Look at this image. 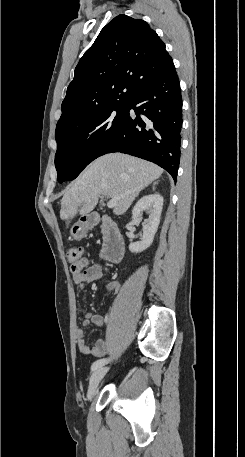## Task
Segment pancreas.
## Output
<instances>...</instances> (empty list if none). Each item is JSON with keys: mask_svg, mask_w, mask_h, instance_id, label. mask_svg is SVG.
<instances>
[{"mask_svg": "<svg viewBox=\"0 0 245 457\" xmlns=\"http://www.w3.org/2000/svg\"><path fill=\"white\" fill-rule=\"evenodd\" d=\"M101 229H102L101 233H104V229H103V226H101Z\"/></svg>", "mask_w": 245, "mask_h": 457, "instance_id": "pancreas-1", "label": "pancreas"}]
</instances>
